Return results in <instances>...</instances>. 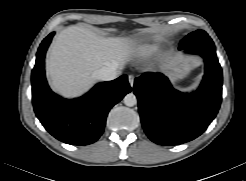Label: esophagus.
I'll return each mask as SVG.
<instances>
[{
  "label": "esophagus",
  "instance_id": "obj_1",
  "mask_svg": "<svg viewBox=\"0 0 246 181\" xmlns=\"http://www.w3.org/2000/svg\"><path fill=\"white\" fill-rule=\"evenodd\" d=\"M134 79H135L134 75H128V81L131 87H133L134 85Z\"/></svg>",
  "mask_w": 246,
  "mask_h": 181
}]
</instances>
